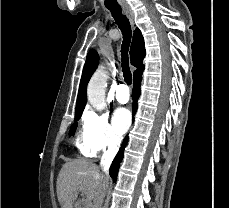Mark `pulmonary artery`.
Segmentation results:
<instances>
[{"label":"pulmonary artery","mask_w":229,"mask_h":208,"mask_svg":"<svg viewBox=\"0 0 229 208\" xmlns=\"http://www.w3.org/2000/svg\"><path fill=\"white\" fill-rule=\"evenodd\" d=\"M116 98L122 102L125 103L130 98V89L125 84H120L116 89Z\"/></svg>","instance_id":"obj_1"}]
</instances>
